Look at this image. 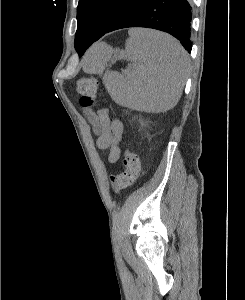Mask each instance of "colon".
I'll return each mask as SVG.
<instances>
[{"label": "colon", "mask_w": 245, "mask_h": 300, "mask_svg": "<svg viewBox=\"0 0 245 300\" xmlns=\"http://www.w3.org/2000/svg\"><path fill=\"white\" fill-rule=\"evenodd\" d=\"M98 83L92 77H82L76 83V90L80 95L79 104L82 108H89L94 104ZM140 174V158L127 149L123 157V171L117 175L110 176V184L114 192H120L131 186Z\"/></svg>", "instance_id": "colon-1"}]
</instances>
